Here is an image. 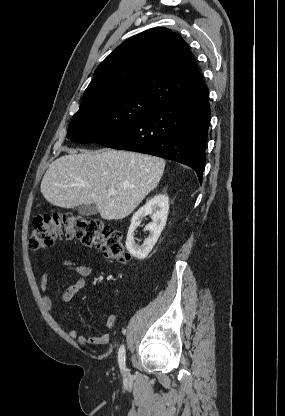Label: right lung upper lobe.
Here are the masks:
<instances>
[{"mask_svg": "<svg viewBox=\"0 0 285 416\" xmlns=\"http://www.w3.org/2000/svg\"><path fill=\"white\" fill-rule=\"evenodd\" d=\"M207 86L183 38L166 28L131 37L95 70L80 109L137 96L159 106Z\"/></svg>", "mask_w": 285, "mask_h": 416, "instance_id": "right-lung-upper-lobe-1", "label": "right lung upper lobe"}]
</instances>
